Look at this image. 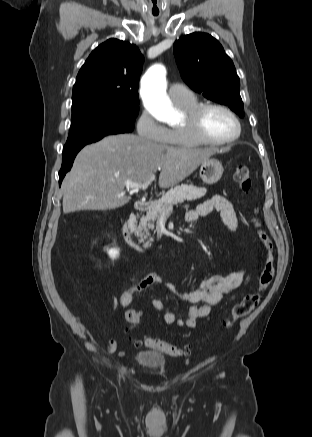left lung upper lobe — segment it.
<instances>
[{
    "label": "left lung upper lobe",
    "mask_w": 312,
    "mask_h": 437,
    "mask_svg": "<svg viewBox=\"0 0 312 437\" xmlns=\"http://www.w3.org/2000/svg\"><path fill=\"white\" fill-rule=\"evenodd\" d=\"M174 55L183 80L194 91L244 116L239 77L214 37L201 32L185 35L174 43Z\"/></svg>",
    "instance_id": "1"
}]
</instances>
